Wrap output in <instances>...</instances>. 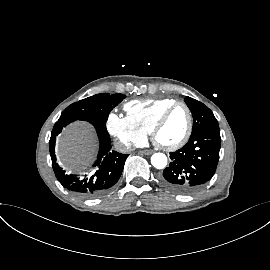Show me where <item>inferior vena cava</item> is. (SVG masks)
<instances>
[{"label":"inferior vena cava","instance_id":"602c4592","mask_svg":"<svg viewBox=\"0 0 270 270\" xmlns=\"http://www.w3.org/2000/svg\"><path fill=\"white\" fill-rule=\"evenodd\" d=\"M114 147L117 151H119L121 153H128L132 150V147L130 144H124L120 141H116L114 143Z\"/></svg>","mask_w":270,"mask_h":270}]
</instances>
